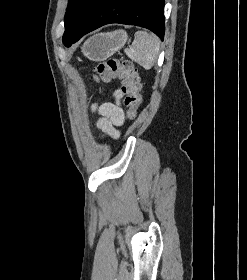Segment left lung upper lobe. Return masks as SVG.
I'll return each mask as SVG.
<instances>
[{
  "instance_id": "left-lung-upper-lobe-1",
  "label": "left lung upper lobe",
  "mask_w": 247,
  "mask_h": 280,
  "mask_svg": "<svg viewBox=\"0 0 247 280\" xmlns=\"http://www.w3.org/2000/svg\"><path fill=\"white\" fill-rule=\"evenodd\" d=\"M101 0H68V7L65 14V36H71L76 33L84 20L89 15L90 11Z\"/></svg>"
}]
</instances>
